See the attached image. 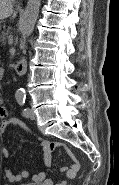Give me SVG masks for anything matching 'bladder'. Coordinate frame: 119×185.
Instances as JSON below:
<instances>
[{"mask_svg": "<svg viewBox=\"0 0 119 185\" xmlns=\"http://www.w3.org/2000/svg\"><path fill=\"white\" fill-rule=\"evenodd\" d=\"M20 185H42V184H38V183H25V184H20Z\"/></svg>", "mask_w": 119, "mask_h": 185, "instance_id": "31cf9c89", "label": "bladder"}]
</instances>
